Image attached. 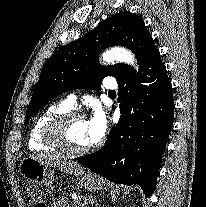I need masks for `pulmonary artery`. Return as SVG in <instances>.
<instances>
[{"instance_id":"1","label":"pulmonary artery","mask_w":206,"mask_h":207,"mask_svg":"<svg viewBox=\"0 0 206 207\" xmlns=\"http://www.w3.org/2000/svg\"><path fill=\"white\" fill-rule=\"evenodd\" d=\"M108 81L105 82V87L106 88H109V89H112L114 90L116 88V83L115 81L111 78V77H108L106 78ZM76 102H77V96L75 94H69L65 100V103L70 107V108H73L75 107L76 105Z\"/></svg>"}]
</instances>
